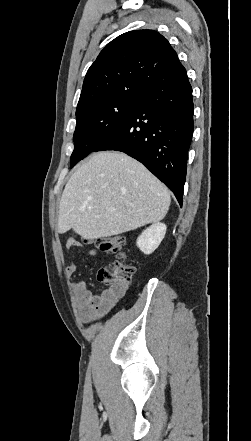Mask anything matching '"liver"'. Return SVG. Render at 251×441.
I'll return each instance as SVG.
<instances>
[{
	"label": "liver",
	"mask_w": 251,
	"mask_h": 441,
	"mask_svg": "<svg viewBox=\"0 0 251 441\" xmlns=\"http://www.w3.org/2000/svg\"><path fill=\"white\" fill-rule=\"evenodd\" d=\"M170 201L167 188L141 163L124 153L99 152L66 184L58 232L73 229L89 240L122 234L162 220Z\"/></svg>",
	"instance_id": "liver-1"
}]
</instances>
